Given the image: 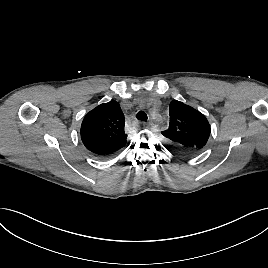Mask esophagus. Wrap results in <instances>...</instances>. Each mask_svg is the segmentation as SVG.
<instances>
[{
  "instance_id": "34e87169",
  "label": "esophagus",
  "mask_w": 268,
  "mask_h": 268,
  "mask_svg": "<svg viewBox=\"0 0 268 268\" xmlns=\"http://www.w3.org/2000/svg\"><path fill=\"white\" fill-rule=\"evenodd\" d=\"M140 124H142L143 126H146L147 125L145 122H140Z\"/></svg>"
}]
</instances>
